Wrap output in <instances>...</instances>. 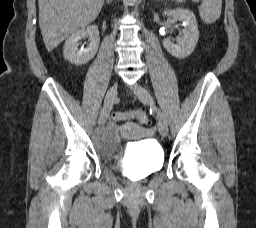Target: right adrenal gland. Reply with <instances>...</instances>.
<instances>
[{
	"label": "right adrenal gland",
	"instance_id": "2a0ac1e0",
	"mask_svg": "<svg viewBox=\"0 0 256 228\" xmlns=\"http://www.w3.org/2000/svg\"><path fill=\"white\" fill-rule=\"evenodd\" d=\"M111 2H112V0H105V4H109Z\"/></svg>",
	"mask_w": 256,
	"mask_h": 228
}]
</instances>
